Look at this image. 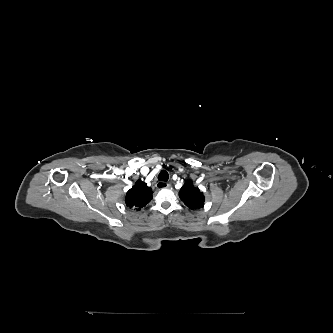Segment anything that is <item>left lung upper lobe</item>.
I'll use <instances>...</instances> for the list:
<instances>
[{
    "label": "left lung upper lobe",
    "instance_id": "5c2ea615",
    "mask_svg": "<svg viewBox=\"0 0 333 333\" xmlns=\"http://www.w3.org/2000/svg\"><path fill=\"white\" fill-rule=\"evenodd\" d=\"M179 197L190 209H198L204 206V195L199 188L193 186L192 181H187L182 186Z\"/></svg>",
    "mask_w": 333,
    "mask_h": 333
}]
</instances>
